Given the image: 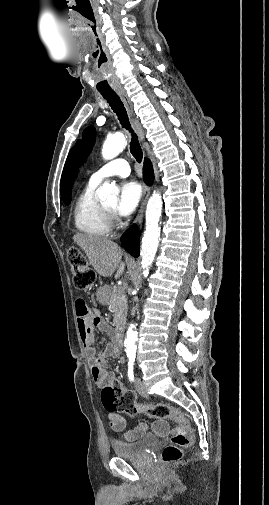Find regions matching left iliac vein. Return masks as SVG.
I'll return each instance as SVG.
<instances>
[{
  "label": "left iliac vein",
  "instance_id": "obj_1",
  "mask_svg": "<svg viewBox=\"0 0 269 505\" xmlns=\"http://www.w3.org/2000/svg\"><path fill=\"white\" fill-rule=\"evenodd\" d=\"M135 388L140 395L142 396L146 395V387L142 382L141 378L138 376L135 378Z\"/></svg>",
  "mask_w": 269,
  "mask_h": 505
}]
</instances>
